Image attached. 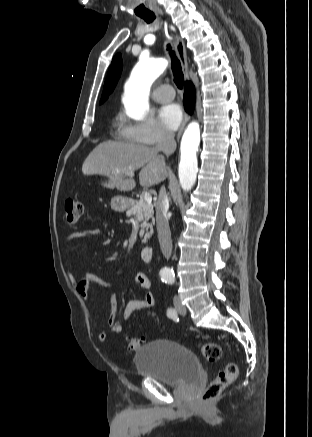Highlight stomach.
Returning <instances> with one entry per match:
<instances>
[{
  "mask_svg": "<svg viewBox=\"0 0 312 437\" xmlns=\"http://www.w3.org/2000/svg\"><path fill=\"white\" fill-rule=\"evenodd\" d=\"M130 201L124 196H114L111 199V209L116 212H124L129 207Z\"/></svg>",
  "mask_w": 312,
  "mask_h": 437,
  "instance_id": "0dacf381",
  "label": "stomach"
}]
</instances>
